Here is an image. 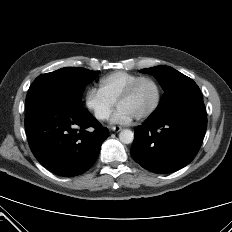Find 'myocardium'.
I'll list each match as a JSON object with an SVG mask.
<instances>
[{"instance_id": "obj_1", "label": "myocardium", "mask_w": 232, "mask_h": 232, "mask_svg": "<svg viewBox=\"0 0 232 232\" xmlns=\"http://www.w3.org/2000/svg\"><path fill=\"white\" fill-rule=\"evenodd\" d=\"M144 81H149L154 85L155 90H156V97H155V101H154L153 105L151 106V108L147 112H145L144 114L136 117L137 120H145V119L151 117L156 112V110L158 109V107L160 105L161 98H162V90H161V86L159 85V83L156 79H154L151 76H141V77L137 78L135 81H133L130 84V86L123 92V94L116 101V105L119 107V105L122 102L128 100L129 98H131L133 96V94L135 93L138 86Z\"/></svg>"}]
</instances>
